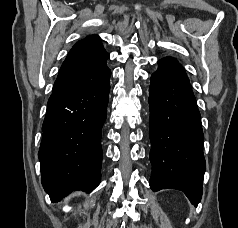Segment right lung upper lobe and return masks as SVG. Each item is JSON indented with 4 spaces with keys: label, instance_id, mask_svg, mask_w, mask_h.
Wrapping results in <instances>:
<instances>
[{
    "label": "right lung upper lobe",
    "instance_id": "obj_1",
    "mask_svg": "<svg viewBox=\"0 0 238 228\" xmlns=\"http://www.w3.org/2000/svg\"><path fill=\"white\" fill-rule=\"evenodd\" d=\"M109 57L98 36H89L78 41L63 62L52 92L98 81L107 69L106 60Z\"/></svg>",
    "mask_w": 238,
    "mask_h": 228
}]
</instances>
